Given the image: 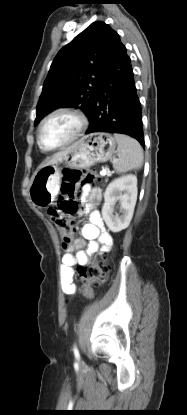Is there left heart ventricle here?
Instances as JSON below:
<instances>
[{
  "label": "left heart ventricle",
  "mask_w": 187,
  "mask_h": 415,
  "mask_svg": "<svg viewBox=\"0 0 187 415\" xmlns=\"http://www.w3.org/2000/svg\"><path fill=\"white\" fill-rule=\"evenodd\" d=\"M77 120L68 114H58L49 119L43 126L41 138L48 147L58 146L75 133Z\"/></svg>",
  "instance_id": "obj_1"
}]
</instances>
